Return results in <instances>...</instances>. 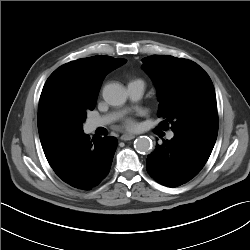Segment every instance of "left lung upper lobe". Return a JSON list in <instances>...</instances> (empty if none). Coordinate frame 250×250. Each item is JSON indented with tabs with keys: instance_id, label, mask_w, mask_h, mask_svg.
Returning <instances> with one entry per match:
<instances>
[{
	"instance_id": "5c2ea615",
	"label": "left lung upper lobe",
	"mask_w": 250,
	"mask_h": 250,
	"mask_svg": "<svg viewBox=\"0 0 250 250\" xmlns=\"http://www.w3.org/2000/svg\"><path fill=\"white\" fill-rule=\"evenodd\" d=\"M143 70L153 79L161 128L171 130L218 127L214 86L195 62L173 56L152 55L142 59Z\"/></svg>"
}]
</instances>
